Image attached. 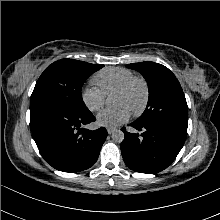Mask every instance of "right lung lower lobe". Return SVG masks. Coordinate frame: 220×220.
Wrapping results in <instances>:
<instances>
[{"label": "right lung lower lobe", "instance_id": "1", "mask_svg": "<svg viewBox=\"0 0 220 220\" xmlns=\"http://www.w3.org/2000/svg\"><path fill=\"white\" fill-rule=\"evenodd\" d=\"M30 114L33 138L53 168L79 172L97 161L108 133L104 127L94 131L80 128L96 120L89 110L74 111L56 103L35 101L30 104Z\"/></svg>", "mask_w": 220, "mask_h": 220}]
</instances>
